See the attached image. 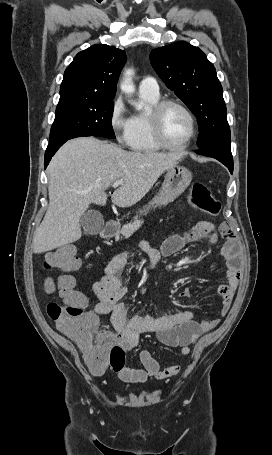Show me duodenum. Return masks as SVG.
<instances>
[{
  "instance_id": "obj_1",
  "label": "duodenum",
  "mask_w": 272,
  "mask_h": 455,
  "mask_svg": "<svg viewBox=\"0 0 272 455\" xmlns=\"http://www.w3.org/2000/svg\"><path fill=\"white\" fill-rule=\"evenodd\" d=\"M115 232V225L112 222H108L100 231L99 235L101 238H109L113 236Z\"/></svg>"
}]
</instances>
